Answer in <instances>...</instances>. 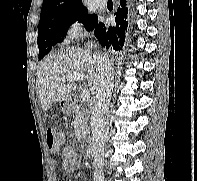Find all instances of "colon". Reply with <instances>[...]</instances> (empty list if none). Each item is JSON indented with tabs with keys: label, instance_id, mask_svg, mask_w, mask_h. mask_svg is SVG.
<instances>
[{
	"label": "colon",
	"instance_id": "1",
	"mask_svg": "<svg viewBox=\"0 0 197 181\" xmlns=\"http://www.w3.org/2000/svg\"><path fill=\"white\" fill-rule=\"evenodd\" d=\"M46 142L51 151L57 152L59 150L62 144V137L55 127H47Z\"/></svg>",
	"mask_w": 197,
	"mask_h": 181
}]
</instances>
